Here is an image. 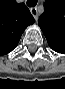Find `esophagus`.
Segmentation results:
<instances>
[{"mask_svg":"<svg viewBox=\"0 0 65 89\" xmlns=\"http://www.w3.org/2000/svg\"><path fill=\"white\" fill-rule=\"evenodd\" d=\"M31 14L33 15V17L37 20L38 19V10L36 7L31 8Z\"/></svg>","mask_w":65,"mask_h":89,"instance_id":"34e87169","label":"esophagus"}]
</instances>
